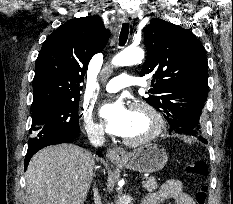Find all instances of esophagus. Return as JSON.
Returning <instances> with one entry per match:
<instances>
[{"instance_id":"esophagus-1","label":"esophagus","mask_w":233,"mask_h":204,"mask_svg":"<svg viewBox=\"0 0 233 204\" xmlns=\"http://www.w3.org/2000/svg\"><path fill=\"white\" fill-rule=\"evenodd\" d=\"M123 20L126 23L132 24L133 22V17L131 15H124ZM107 158L112 161V162H117L121 161L126 157V151L125 149L121 147H114V148H109L107 150Z\"/></svg>"}]
</instances>
